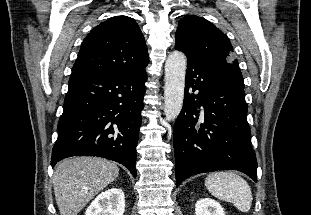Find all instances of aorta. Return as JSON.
<instances>
[{
    "label": "aorta",
    "instance_id": "1",
    "mask_svg": "<svg viewBox=\"0 0 311 215\" xmlns=\"http://www.w3.org/2000/svg\"><path fill=\"white\" fill-rule=\"evenodd\" d=\"M187 59L180 51L168 55L165 63L164 115L175 120L181 112L184 99Z\"/></svg>",
    "mask_w": 311,
    "mask_h": 215
}]
</instances>
